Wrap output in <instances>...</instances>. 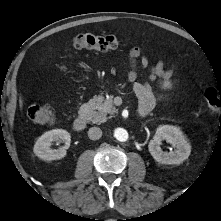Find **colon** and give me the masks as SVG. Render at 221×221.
<instances>
[{
  "label": "colon",
  "mask_w": 221,
  "mask_h": 221,
  "mask_svg": "<svg viewBox=\"0 0 221 221\" xmlns=\"http://www.w3.org/2000/svg\"><path fill=\"white\" fill-rule=\"evenodd\" d=\"M119 39L114 35H93L82 33L75 36L72 40V47L74 49H92L97 51H109L117 48ZM205 101L209 113L216 115L221 106V94L213 88L205 91ZM28 117L42 125H50L54 122V112L46 105L32 104L27 111Z\"/></svg>",
  "instance_id": "obj_1"
}]
</instances>
